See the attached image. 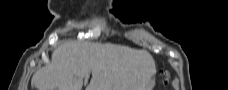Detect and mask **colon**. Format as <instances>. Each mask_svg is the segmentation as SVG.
Masks as SVG:
<instances>
[{"label": "colon", "mask_w": 228, "mask_h": 90, "mask_svg": "<svg viewBox=\"0 0 228 90\" xmlns=\"http://www.w3.org/2000/svg\"><path fill=\"white\" fill-rule=\"evenodd\" d=\"M164 75H165L166 79H168V72L167 71H164Z\"/></svg>", "instance_id": "5ec220e1"}]
</instances>
